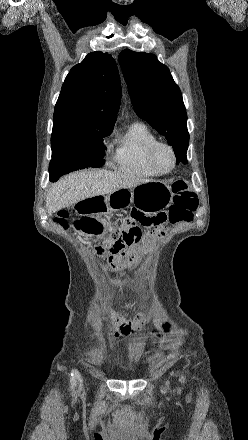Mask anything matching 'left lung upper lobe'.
<instances>
[{
	"label": "left lung upper lobe",
	"mask_w": 248,
	"mask_h": 440,
	"mask_svg": "<svg viewBox=\"0 0 248 440\" xmlns=\"http://www.w3.org/2000/svg\"><path fill=\"white\" fill-rule=\"evenodd\" d=\"M119 63L137 115L165 136L173 147L177 164L186 163L187 113L168 67L153 54L129 49L119 54Z\"/></svg>",
	"instance_id": "obj_1"
}]
</instances>
